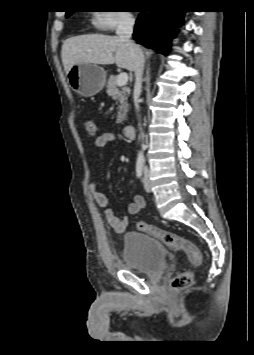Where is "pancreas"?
I'll return each instance as SVG.
<instances>
[{
	"label": "pancreas",
	"instance_id": "1",
	"mask_svg": "<svg viewBox=\"0 0 254 355\" xmlns=\"http://www.w3.org/2000/svg\"><path fill=\"white\" fill-rule=\"evenodd\" d=\"M116 80H117V76L115 75L110 76V78L107 81L106 92L110 97H112L114 100L120 103V105L118 106L119 111H118L116 123L121 124L124 121L127 113V108H128L127 99L129 95V88L126 86H122L121 89H119V87L116 84Z\"/></svg>",
	"mask_w": 254,
	"mask_h": 355
}]
</instances>
